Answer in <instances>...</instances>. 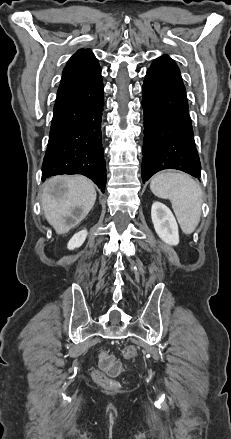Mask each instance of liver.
I'll return each instance as SVG.
<instances>
[{"label": "liver", "instance_id": "obj_1", "mask_svg": "<svg viewBox=\"0 0 231 439\" xmlns=\"http://www.w3.org/2000/svg\"><path fill=\"white\" fill-rule=\"evenodd\" d=\"M96 201L91 180L84 176L61 175L49 178L43 187L42 209L57 234H65L83 220ZM71 218L73 224H69Z\"/></svg>", "mask_w": 231, "mask_h": 439}]
</instances>
